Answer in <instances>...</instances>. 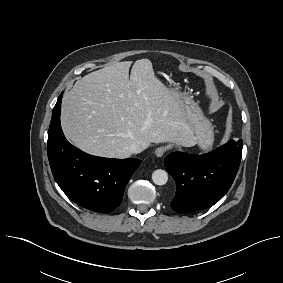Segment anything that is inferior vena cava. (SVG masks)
<instances>
[{
    "label": "inferior vena cava",
    "mask_w": 283,
    "mask_h": 283,
    "mask_svg": "<svg viewBox=\"0 0 283 283\" xmlns=\"http://www.w3.org/2000/svg\"><path fill=\"white\" fill-rule=\"evenodd\" d=\"M145 149V147L143 145H141L139 142H133L130 144L129 146V151L132 154H137L142 152Z\"/></svg>",
    "instance_id": "inferior-vena-cava-1"
}]
</instances>
